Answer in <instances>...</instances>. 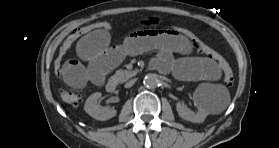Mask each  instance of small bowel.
<instances>
[{
	"label": "small bowel",
	"instance_id": "small-bowel-1",
	"mask_svg": "<svg viewBox=\"0 0 279 148\" xmlns=\"http://www.w3.org/2000/svg\"><path fill=\"white\" fill-rule=\"evenodd\" d=\"M149 50L158 51L152 61L154 67L162 72L172 71L179 79L214 81L220 78V67L217 63L207 58L192 56V46L186 39L165 30L137 31L119 45L110 44L108 31H93L79 40L78 59L65 61L62 78L75 88H83L88 82L99 84L106 73L126 57ZM174 53L183 57L176 59Z\"/></svg>",
	"mask_w": 279,
	"mask_h": 148
}]
</instances>
